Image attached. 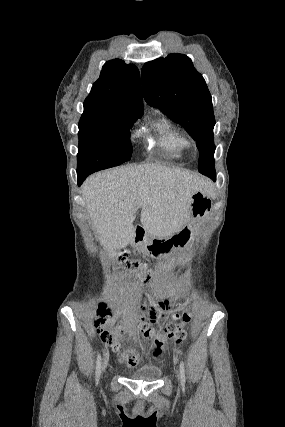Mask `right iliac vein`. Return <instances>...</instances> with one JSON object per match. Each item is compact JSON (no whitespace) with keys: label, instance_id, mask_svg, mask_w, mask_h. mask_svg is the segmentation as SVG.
Wrapping results in <instances>:
<instances>
[{"label":"right iliac vein","instance_id":"right-iliac-vein-1","mask_svg":"<svg viewBox=\"0 0 285 427\" xmlns=\"http://www.w3.org/2000/svg\"><path fill=\"white\" fill-rule=\"evenodd\" d=\"M106 366H107V365H106V362H104V363H103V365H102V373L105 371Z\"/></svg>","mask_w":285,"mask_h":427}]
</instances>
